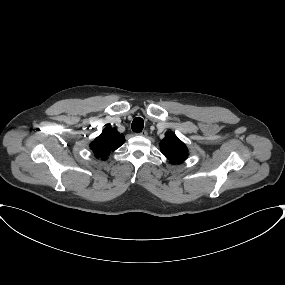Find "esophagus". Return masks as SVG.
I'll use <instances>...</instances> for the list:
<instances>
[{
    "label": "esophagus",
    "instance_id": "obj_1",
    "mask_svg": "<svg viewBox=\"0 0 285 285\" xmlns=\"http://www.w3.org/2000/svg\"><path fill=\"white\" fill-rule=\"evenodd\" d=\"M139 135L146 137L148 135V132L146 130H143L142 132L139 133Z\"/></svg>",
    "mask_w": 285,
    "mask_h": 285
}]
</instances>
